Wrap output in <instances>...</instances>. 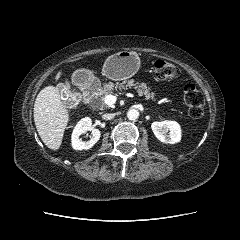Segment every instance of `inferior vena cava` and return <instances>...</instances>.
Returning <instances> with one entry per match:
<instances>
[{
    "label": "inferior vena cava",
    "instance_id": "1",
    "mask_svg": "<svg viewBox=\"0 0 240 240\" xmlns=\"http://www.w3.org/2000/svg\"><path fill=\"white\" fill-rule=\"evenodd\" d=\"M114 116H115V114H113V113H106V114H104V115L102 116V118H103L104 120H111V119L114 118Z\"/></svg>",
    "mask_w": 240,
    "mask_h": 240
}]
</instances>
